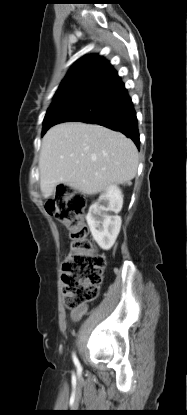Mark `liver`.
Instances as JSON below:
<instances>
[{"label":"liver","mask_w":187,"mask_h":415,"mask_svg":"<svg viewBox=\"0 0 187 415\" xmlns=\"http://www.w3.org/2000/svg\"><path fill=\"white\" fill-rule=\"evenodd\" d=\"M138 151L131 139L100 125L80 122L51 127L42 139L40 190L49 198L58 184L93 195L131 181Z\"/></svg>","instance_id":"liver-1"}]
</instances>
